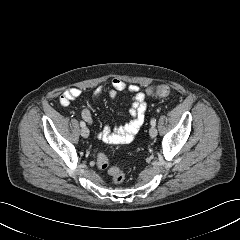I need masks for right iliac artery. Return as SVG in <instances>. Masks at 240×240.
I'll return each instance as SVG.
<instances>
[{"label": "right iliac artery", "mask_w": 240, "mask_h": 240, "mask_svg": "<svg viewBox=\"0 0 240 240\" xmlns=\"http://www.w3.org/2000/svg\"><path fill=\"white\" fill-rule=\"evenodd\" d=\"M80 126H81V127H85V126H86L85 122L81 121V122H80Z\"/></svg>", "instance_id": "82829eb1"}]
</instances>
